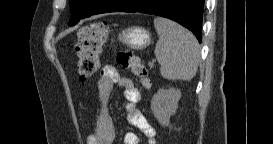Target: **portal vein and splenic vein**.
<instances>
[{
	"label": "portal vein and splenic vein",
	"mask_w": 273,
	"mask_h": 144,
	"mask_svg": "<svg viewBox=\"0 0 273 144\" xmlns=\"http://www.w3.org/2000/svg\"><path fill=\"white\" fill-rule=\"evenodd\" d=\"M149 66H150V67H153V63H150Z\"/></svg>",
	"instance_id": "1"
}]
</instances>
